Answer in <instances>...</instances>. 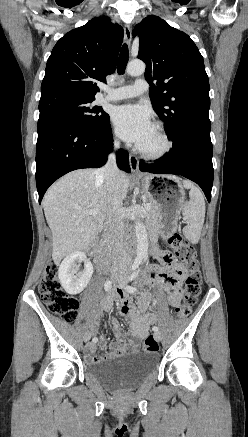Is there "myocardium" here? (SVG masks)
Wrapping results in <instances>:
<instances>
[{"instance_id":"1","label":"myocardium","mask_w":248,"mask_h":437,"mask_svg":"<svg viewBox=\"0 0 248 437\" xmlns=\"http://www.w3.org/2000/svg\"><path fill=\"white\" fill-rule=\"evenodd\" d=\"M154 128L157 131L159 138L162 142V146L158 150H146L139 145L136 147V151L143 157L151 160H157L165 157L172 149V141L168 136L165 128L160 123H155Z\"/></svg>"}]
</instances>
